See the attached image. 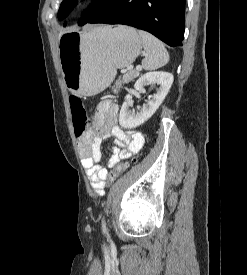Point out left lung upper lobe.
<instances>
[{"label": "left lung upper lobe", "mask_w": 247, "mask_h": 275, "mask_svg": "<svg viewBox=\"0 0 247 275\" xmlns=\"http://www.w3.org/2000/svg\"><path fill=\"white\" fill-rule=\"evenodd\" d=\"M109 0H93L91 6L83 13V17L80 19V25H84L88 20H90ZM76 5V0H64L61 3L58 19H63L66 17L72 8ZM66 26V23L64 24Z\"/></svg>", "instance_id": "5c2ea615"}]
</instances>
